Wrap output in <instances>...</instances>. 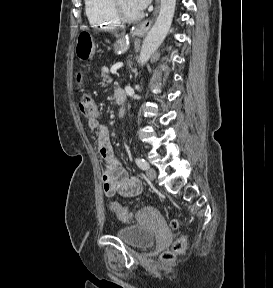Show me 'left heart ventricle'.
Instances as JSON below:
<instances>
[{
    "mask_svg": "<svg viewBox=\"0 0 273 288\" xmlns=\"http://www.w3.org/2000/svg\"><path fill=\"white\" fill-rule=\"evenodd\" d=\"M119 6L126 15L136 16L139 14L131 4L130 0H119Z\"/></svg>",
    "mask_w": 273,
    "mask_h": 288,
    "instance_id": "obj_1",
    "label": "left heart ventricle"
}]
</instances>
